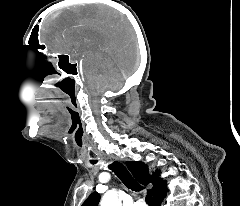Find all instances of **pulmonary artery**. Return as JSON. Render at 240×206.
<instances>
[{
  "instance_id": "pulmonary-artery-1",
  "label": "pulmonary artery",
  "mask_w": 240,
  "mask_h": 206,
  "mask_svg": "<svg viewBox=\"0 0 240 206\" xmlns=\"http://www.w3.org/2000/svg\"><path fill=\"white\" fill-rule=\"evenodd\" d=\"M133 206H146V205L140 201H137L133 204Z\"/></svg>"
}]
</instances>
